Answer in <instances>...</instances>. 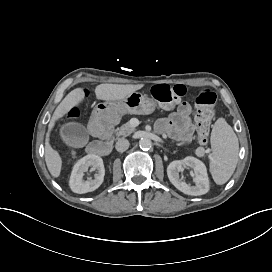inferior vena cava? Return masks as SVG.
<instances>
[{
	"mask_svg": "<svg viewBox=\"0 0 272 272\" xmlns=\"http://www.w3.org/2000/svg\"><path fill=\"white\" fill-rule=\"evenodd\" d=\"M115 147L118 152H124L129 147V141L127 139L121 138L117 141Z\"/></svg>",
	"mask_w": 272,
	"mask_h": 272,
	"instance_id": "1",
	"label": "inferior vena cava"
}]
</instances>
